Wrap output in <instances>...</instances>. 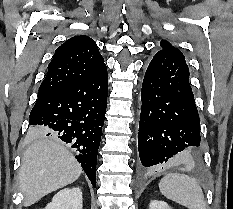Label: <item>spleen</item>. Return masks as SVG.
<instances>
[{"label": "spleen", "mask_w": 233, "mask_h": 209, "mask_svg": "<svg viewBox=\"0 0 233 209\" xmlns=\"http://www.w3.org/2000/svg\"><path fill=\"white\" fill-rule=\"evenodd\" d=\"M161 193L188 209H206L201 187L194 178L184 174H167L159 183Z\"/></svg>", "instance_id": "1"}]
</instances>
